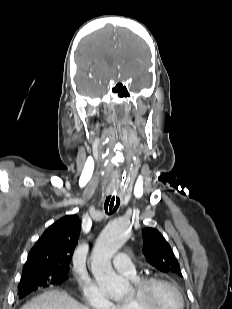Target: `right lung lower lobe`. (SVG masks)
<instances>
[{
    "label": "right lung lower lobe",
    "instance_id": "obj_1",
    "mask_svg": "<svg viewBox=\"0 0 232 309\" xmlns=\"http://www.w3.org/2000/svg\"><path fill=\"white\" fill-rule=\"evenodd\" d=\"M36 289L37 288L28 287V286L21 287L19 289L18 296H19V298H23V297L27 296L28 294H30L31 292L35 291Z\"/></svg>",
    "mask_w": 232,
    "mask_h": 309
}]
</instances>
